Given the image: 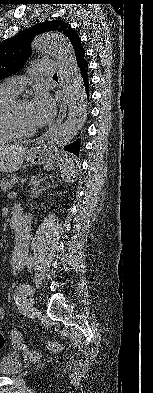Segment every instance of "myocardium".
Returning a JSON list of instances; mask_svg holds the SVG:
<instances>
[{
	"instance_id": "1",
	"label": "myocardium",
	"mask_w": 153,
	"mask_h": 393,
	"mask_svg": "<svg viewBox=\"0 0 153 393\" xmlns=\"http://www.w3.org/2000/svg\"><path fill=\"white\" fill-rule=\"evenodd\" d=\"M25 100L16 99L12 102L8 112V124L9 128L13 132V135L17 138H24L32 135L35 132V129L25 130L20 127V124L17 119V107L18 105Z\"/></svg>"
}]
</instances>
